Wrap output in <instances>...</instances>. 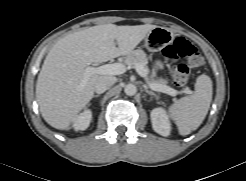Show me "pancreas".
I'll use <instances>...</instances> for the list:
<instances>
[{"mask_svg": "<svg viewBox=\"0 0 246 181\" xmlns=\"http://www.w3.org/2000/svg\"><path fill=\"white\" fill-rule=\"evenodd\" d=\"M124 63L130 67H133L135 64H140L145 68L147 74L149 73V68L147 66L148 59L145 52L141 49L134 50L128 54L124 59ZM150 78L153 83L167 86V80L163 78L155 79L153 75H151Z\"/></svg>", "mask_w": 246, "mask_h": 181, "instance_id": "1", "label": "pancreas"}]
</instances>
